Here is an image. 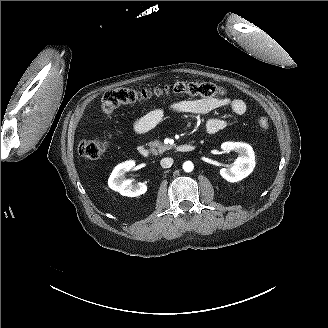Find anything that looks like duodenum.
Here are the masks:
<instances>
[{
  "mask_svg": "<svg viewBox=\"0 0 328 328\" xmlns=\"http://www.w3.org/2000/svg\"><path fill=\"white\" fill-rule=\"evenodd\" d=\"M194 148L195 147L191 144H181L176 148V150L180 153H188L193 151ZM137 151L144 158H148L150 156V150L145 145L138 146Z\"/></svg>",
  "mask_w": 328,
  "mask_h": 328,
  "instance_id": "obj_1",
  "label": "duodenum"
}]
</instances>
